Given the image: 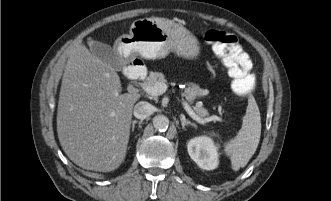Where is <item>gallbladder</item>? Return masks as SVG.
<instances>
[{"mask_svg":"<svg viewBox=\"0 0 331 201\" xmlns=\"http://www.w3.org/2000/svg\"><path fill=\"white\" fill-rule=\"evenodd\" d=\"M89 46L95 57L109 64L113 69L121 71L125 68L123 60L110 45L92 40L89 41Z\"/></svg>","mask_w":331,"mask_h":201,"instance_id":"gallbladder-1","label":"gallbladder"}]
</instances>
